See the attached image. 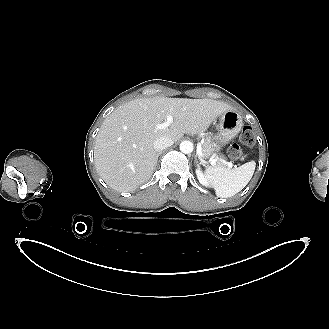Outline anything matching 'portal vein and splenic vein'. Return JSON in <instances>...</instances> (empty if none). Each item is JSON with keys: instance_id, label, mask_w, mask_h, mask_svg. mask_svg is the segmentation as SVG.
<instances>
[{"instance_id": "18ae733b", "label": "portal vein and splenic vein", "mask_w": 329, "mask_h": 329, "mask_svg": "<svg viewBox=\"0 0 329 329\" xmlns=\"http://www.w3.org/2000/svg\"><path fill=\"white\" fill-rule=\"evenodd\" d=\"M173 123V117L168 115L167 116V119L165 122L161 123V124H157L155 126V129L156 130H162V129H165V128H168L171 124ZM197 153L198 155H201L202 152H201V148L198 146L197 148ZM212 162H216L217 160H219L218 157H215V156H212L211 159H210ZM225 164L229 167V168H232L233 167V164L231 162H227V161H224Z\"/></svg>"}]
</instances>
